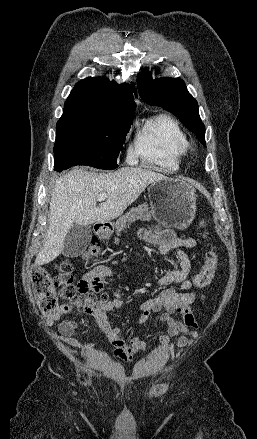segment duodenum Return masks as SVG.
Wrapping results in <instances>:
<instances>
[{
	"mask_svg": "<svg viewBox=\"0 0 257 439\" xmlns=\"http://www.w3.org/2000/svg\"><path fill=\"white\" fill-rule=\"evenodd\" d=\"M111 225L109 223H100L97 225L96 230L102 234V236H107L109 234Z\"/></svg>",
	"mask_w": 257,
	"mask_h": 439,
	"instance_id": "410a0bca",
	"label": "duodenum"
}]
</instances>
